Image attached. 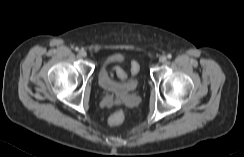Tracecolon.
Wrapping results in <instances>:
<instances>
[{"instance_id":"obj_1","label":"colon","mask_w":244,"mask_h":157,"mask_svg":"<svg viewBox=\"0 0 244 157\" xmlns=\"http://www.w3.org/2000/svg\"><path fill=\"white\" fill-rule=\"evenodd\" d=\"M131 70H132V73H134V74L138 73L139 65L137 62L134 61L132 63ZM113 72L117 75V77L119 79H121V80L126 79V74L121 68L115 67ZM124 119H125V113L122 110H116L108 118V124L111 126H117V125H120L124 121Z\"/></svg>"}]
</instances>
